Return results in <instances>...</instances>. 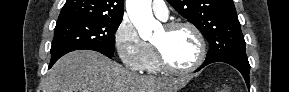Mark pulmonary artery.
I'll return each instance as SVG.
<instances>
[{"label": "pulmonary artery", "mask_w": 289, "mask_h": 92, "mask_svg": "<svg viewBox=\"0 0 289 92\" xmlns=\"http://www.w3.org/2000/svg\"><path fill=\"white\" fill-rule=\"evenodd\" d=\"M152 10L158 18L163 20L167 19L169 12L163 0H154L152 2Z\"/></svg>", "instance_id": "pulmonary-artery-1"}]
</instances>
